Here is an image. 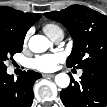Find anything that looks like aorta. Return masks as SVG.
<instances>
[{"instance_id":"1","label":"aorta","mask_w":107,"mask_h":107,"mask_svg":"<svg viewBox=\"0 0 107 107\" xmlns=\"http://www.w3.org/2000/svg\"><path fill=\"white\" fill-rule=\"evenodd\" d=\"M51 43L47 37L43 35H34L29 39V49L34 53L45 52ZM55 83L60 88H67L70 84V77L66 73H59L55 76Z\"/></svg>"}]
</instances>
